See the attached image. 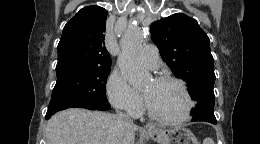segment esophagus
Listing matches in <instances>:
<instances>
[{"instance_id":"34e87169","label":"esophagus","mask_w":260,"mask_h":144,"mask_svg":"<svg viewBox=\"0 0 260 144\" xmlns=\"http://www.w3.org/2000/svg\"><path fill=\"white\" fill-rule=\"evenodd\" d=\"M146 129H147L148 131H150V130L153 129V127H152L151 125H147V126H146Z\"/></svg>"}]
</instances>
